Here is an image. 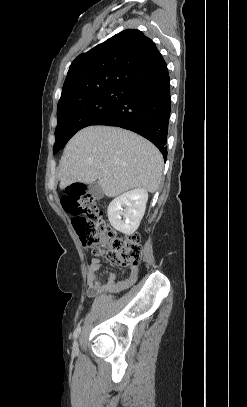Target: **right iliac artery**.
<instances>
[{
	"instance_id": "1",
	"label": "right iliac artery",
	"mask_w": 247,
	"mask_h": 407,
	"mask_svg": "<svg viewBox=\"0 0 247 407\" xmlns=\"http://www.w3.org/2000/svg\"><path fill=\"white\" fill-rule=\"evenodd\" d=\"M80 331H81V327L78 326V327L74 330L73 337H74V338H77V337L79 336V334H80Z\"/></svg>"
}]
</instances>
